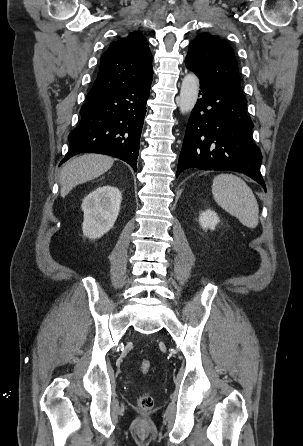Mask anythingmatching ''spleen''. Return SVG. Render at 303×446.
Here are the masks:
<instances>
[{
    "label": "spleen",
    "mask_w": 303,
    "mask_h": 446,
    "mask_svg": "<svg viewBox=\"0 0 303 446\" xmlns=\"http://www.w3.org/2000/svg\"><path fill=\"white\" fill-rule=\"evenodd\" d=\"M212 193L215 201L225 211L235 216L243 225H258L259 208L251 188L233 174H220L213 179Z\"/></svg>",
    "instance_id": "1"
}]
</instances>
